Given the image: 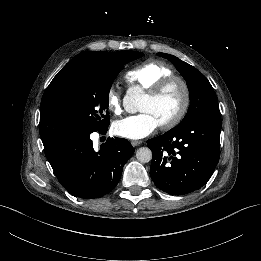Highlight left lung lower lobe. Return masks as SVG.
Listing matches in <instances>:
<instances>
[{
	"mask_svg": "<svg viewBox=\"0 0 261 261\" xmlns=\"http://www.w3.org/2000/svg\"><path fill=\"white\" fill-rule=\"evenodd\" d=\"M221 118L203 116L180 129L147 141L152 149L150 176L155 185L172 195L203 187L220 157Z\"/></svg>",
	"mask_w": 261,
	"mask_h": 261,
	"instance_id": "left-lung-lower-lobe-1",
	"label": "left lung lower lobe"
}]
</instances>
